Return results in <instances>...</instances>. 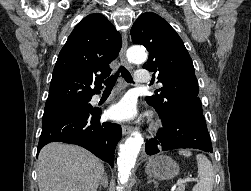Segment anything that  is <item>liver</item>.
<instances>
[{
    "label": "liver",
    "mask_w": 251,
    "mask_h": 191,
    "mask_svg": "<svg viewBox=\"0 0 251 191\" xmlns=\"http://www.w3.org/2000/svg\"><path fill=\"white\" fill-rule=\"evenodd\" d=\"M37 161L39 191H96L104 173L91 151L62 141L44 145Z\"/></svg>",
    "instance_id": "obj_1"
}]
</instances>
